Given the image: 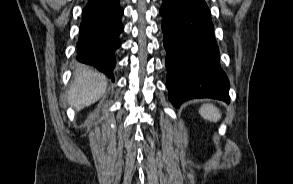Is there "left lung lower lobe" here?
Here are the masks:
<instances>
[{
	"label": "left lung lower lobe",
	"instance_id": "obj_1",
	"mask_svg": "<svg viewBox=\"0 0 293 184\" xmlns=\"http://www.w3.org/2000/svg\"><path fill=\"white\" fill-rule=\"evenodd\" d=\"M169 100L175 107L194 98L229 102V81L219 64L211 13L204 0H163Z\"/></svg>",
	"mask_w": 293,
	"mask_h": 184
}]
</instances>
